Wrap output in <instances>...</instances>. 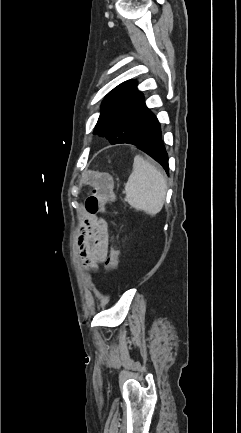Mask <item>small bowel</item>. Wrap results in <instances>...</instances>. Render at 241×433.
Returning a JSON list of instances; mask_svg holds the SVG:
<instances>
[{"mask_svg":"<svg viewBox=\"0 0 241 433\" xmlns=\"http://www.w3.org/2000/svg\"><path fill=\"white\" fill-rule=\"evenodd\" d=\"M92 213L88 200L80 217L77 246L83 266L95 271L107 260L109 237L107 223Z\"/></svg>","mask_w":241,"mask_h":433,"instance_id":"obj_1","label":"small bowel"}]
</instances>
